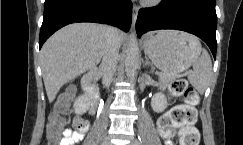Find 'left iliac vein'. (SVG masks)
Listing matches in <instances>:
<instances>
[{"label":"left iliac vein","instance_id":"left-iliac-vein-1","mask_svg":"<svg viewBox=\"0 0 243 145\" xmlns=\"http://www.w3.org/2000/svg\"><path fill=\"white\" fill-rule=\"evenodd\" d=\"M129 145H137L136 141H132Z\"/></svg>","mask_w":243,"mask_h":145}]
</instances>
